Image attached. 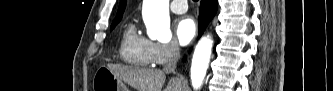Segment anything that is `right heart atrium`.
Returning a JSON list of instances; mask_svg holds the SVG:
<instances>
[{
	"label": "right heart atrium",
	"instance_id": "d8ad5b80",
	"mask_svg": "<svg viewBox=\"0 0 333 91\" xmlns=\"http://www.w3.org/2000/svg\"><path fill=\"white\" fill-rule=\"evenodd\" d=\"M150 56L152 64H167L179 56V46L174 41L150 42Z\"/></svg>",
	"mask_w": 333,
	"mask_h": 91
}]
</instances>
